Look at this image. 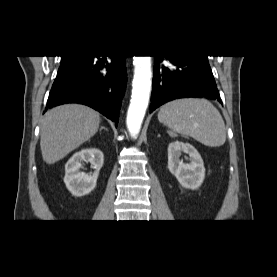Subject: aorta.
<instances>
[{
    "instance_id": "obj_1",
    "label": "aorta",
    "mask_w": 277,
    "mask_h": 277,
    "mask_svg": "<svg viewBox=\"0 0 277 277\" xmlns=\"http://www.w3.org/2000/svg\"><path fill=\"white\" fill-rule=\"evenodd\" d=\"M134 77L131 102L127 113V128L131 136H136L148 106L151 92V56H134Z\"/></svg>"
}]
</instances>
